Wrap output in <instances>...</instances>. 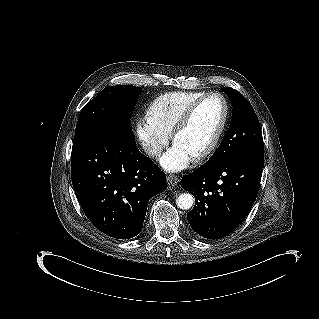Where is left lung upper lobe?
<instances>
[{"instance_id": "1", "label": "left lung upper lobe", "mask_w": 319, "mask_h": 319, "mask_svg": "<svg viewBox=\"0 0 319 319\" xmlns=\"http://www.w3.org/2000/svg\"><path fill=\"white\" fill-rule=\"evenodd\" d=\"M220 92L226 93L230 98L233 116L220 146L207 162L219 163L243 153L263 151L260 124L249 101L230 87H224Z\"/></svg>"}]
</instances>
